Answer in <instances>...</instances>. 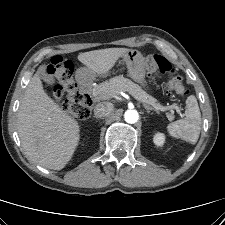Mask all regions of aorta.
<instances>
[{
	"mask_svg": "<svg viewBox=\"0 0 225 225\" xmlns=\"http://www.w3.org/2000/svg\"><path fill=\"white\" fill-rule=\"evenodd\" d=\"M124 119L127 123L134 124L138 121L139 114H138L137 110H135V109H128L124 113Z\"/></svg>",
	"mask_w": 225,
	"mask_h": 225,
	"instance_id": "aorta-1",
	"label": "aorta"
}]
</instances>
